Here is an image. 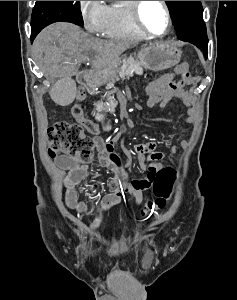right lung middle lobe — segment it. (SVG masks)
Masks as SVG:
<instances>
[{"instance_id":"obj_1","label":"right lung middle lobe","mask_w":237,"mask_h":300,"mask_svg":"<svg viewBox=\"0 0 237 300\" xmlns=\"http://www.w3.org/2000/svg\"><path fill=\"white\" fill-rule=\"evenodd\" d=\"M58 21L82 26L79 1H36L31 17V33L37 35L44 27Z\"/></svg>"}]
</instances>
